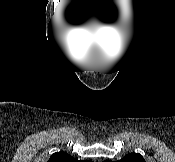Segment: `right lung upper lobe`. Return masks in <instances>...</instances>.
<instances>
[{"mask_svg": "<svg viewBox=\"0 0 175 162\" xmlns=\"http://www.w3.org/2000/svg\"><path fill=\"white\" fill-rule=\"evenodd\" d=\"M48 162H91V161H78L74 157L70 156L65 152H56L54 153Z\"/></svg>", "mask_w": 175, "mask_h": 162, "instance_id": "cb5924a9", "label": "right lung upper lobe"}]
</instances>
